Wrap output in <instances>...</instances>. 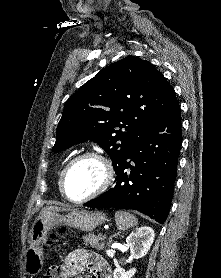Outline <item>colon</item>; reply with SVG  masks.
Wrapping results in <instances>:
<instances>
[{
    "label": "colon",
    "instance_id": "colon-1",
    "mask_svg": "<svg viewBox=\"0 0 221 278\" xmlns=\"http://www.w3.org/2000/svg\"><path fill=\"white\" fill-rule=\"evenodd\" d=\"M57 237V234L56 233H51L50 234V238L47 242V244L49 246H53L54 245V241ZM48 275L51 277V278H59V276L61 275V268L59 266H54L50 269V271L48 272Z\"/></svg>",
    "mask_w": 221,
    "mask_h": 278
}]
</instances>
